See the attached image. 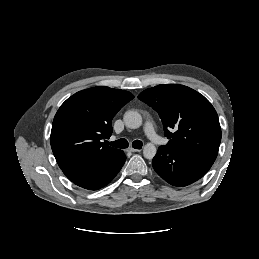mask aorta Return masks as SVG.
Returning a JSON list of instances; mask_svg holds the SVG:
<instances>
[{
    "mask_svg": "<svg viewBox=\"0 0 259 259\" xmlns=\"http://www.w3.org/2000/svg\"><path fill=\"white\" fill-rule=\"evenodd\" d=\"M126 127L131 129H137L142 125L141 115L134 110H129L123 117ZM156 147L153 143H147L143 148V155L147 159H152L156 154Z\"/></svg>",
    "mask_w": 259,
    "mask_h": 259,
    "instance_id": "aorta-1",
    "label": "aorta"
}]
</instances>
